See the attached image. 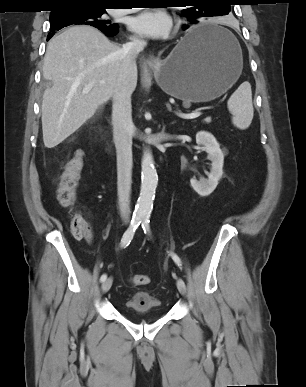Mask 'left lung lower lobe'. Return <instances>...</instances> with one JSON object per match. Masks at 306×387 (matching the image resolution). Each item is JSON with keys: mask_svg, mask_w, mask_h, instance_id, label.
<instances>
[{"mask_svg": "<svg viewBox=\"0 0 306 387\" xmlns=\"http://www.w3.org/2000/svg\"><path fill=\"white\" fill-rule=\"evenodd\" d=\"M188 26H184V29H187ZM224 32L208 30L205 32H195L188 36V44L197 43L199 41L207 40V39H215V38H223Z\"/></svg>", "mask_w": 306, "mask_h": 387, "instance_id": "obj_1", "label": "left lung lower lobe"}]
</instances>
